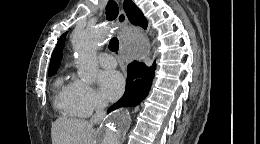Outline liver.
Instances as JSON below:
<instances>
[{"instance_id": "1", "label": "liver", "mask_w": 260, "mask_h": 144, "mask_svg": "<svg viewBox=\"0 0 260 144\" xmlns=\"http://www.w3.org/2000/svg\"><path fill=\"white\" fill-rule=\"evenodd\" d=\"M93 132L86 120L62 117L52 123V144H92Z\"/></svg>"}]
</instances>
